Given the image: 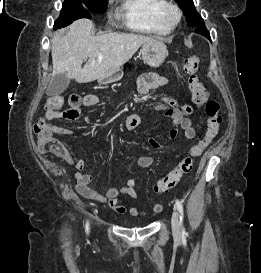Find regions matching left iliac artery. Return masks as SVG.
Returning <instances> with one entry per match:
<instances>
[{"instance_id": "left-iliac-artery-1", "label": "left iliac artery", "mask_w": 261, "mask_h": 273, "mask_svg": "<svg viewBox=\"0 0 261 273\" xmlns=\"http://www.w3.org/2000/svg\"><path fill=\"white\" fill-rule=\"evenodd\" d=\"M178 211H179V214H180V221L181 223L183 222V218H184V212H183V206H182V203L179 201V200H176V203H175ZM182 233L185 234V228L182 227Z\"/></svg>"}]
</instances>
